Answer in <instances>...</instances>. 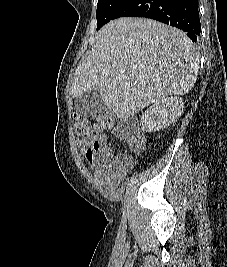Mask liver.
I'll list each match as a JSON object with an SVG mask.
<instances>
[{
	"label": "liver",
	"mask_w": 227,
	"mask_h": 267,
	"mask_svg": "<svg viewBox=\"0 0 227 267\" xmlns=\"http://www.w3.org/2000/svg\"><path fill=\"white\" fill-rule=\"evenodd\" d=\"M199 55L185 33L155 20L120 18L101 28L92 52L81 61L71 93L99 89L119 118L169 95H184L196 82Z\"/></svg>",
	"instance_id": "obj_1"
}]
</instances>
